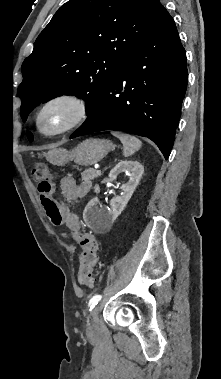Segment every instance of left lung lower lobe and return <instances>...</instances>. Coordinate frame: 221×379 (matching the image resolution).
<instances>
[{"label": "left lung lower lobe", "instance_id": "0a47b994", "mask_svg": "<svg viewBox=\"0 0 221 379\" xmlns=\"http://www.w3.org/2000/svg\"><path fill=\"white\" fill-rule=\"evenodd\" d=\"M187 87L186 53L164 8L152 31L108 79L70 136L115 130L151 139L170 155Z\"/></svg>", "mask_w": 221, "mask_h": 379}]
</instances>
